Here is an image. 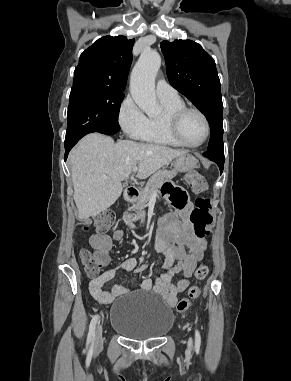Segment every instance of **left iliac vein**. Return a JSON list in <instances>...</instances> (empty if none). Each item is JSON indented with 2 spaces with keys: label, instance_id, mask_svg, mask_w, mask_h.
Here are the masks:
<instances>
[{
  "label": "left iliac vein",
  "instance_id": "1",
  "mask_svg": "<svg viewBox=\"0 0 291 381\" xmlns=\"http://www.w3.org/2000/svg\"><path fill=\"white\" fill-rule=\"evenodd\" d=\"M188 346H189V348L192 347V340H189Z\"/></svg>",
  "mask_w": 291,
  "mask_h": 381
}]
</instances>
